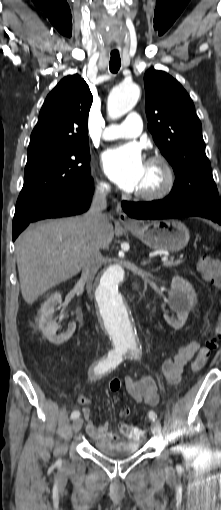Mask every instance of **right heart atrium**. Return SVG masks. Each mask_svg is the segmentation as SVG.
Listing matches in <instances>:
<instances>
[{
  "label": "right heart atrium",
  "mask_w": 221,
  "mask_h": 510,
  "mask_svg": "<svg viewBox=\"0 0 221 510\" xmlns=\"http://www.w3.org/2000/svg\"><path fill=\"white\" fill-rule=\"evenodd\" d=\"M97 187L103 193H107L110 190V184L105 179L98 180Z\"/></svg>",
  "instance_id": "d8ad5b80"
}]
</instances>
